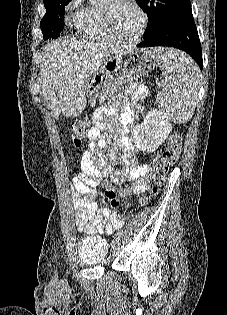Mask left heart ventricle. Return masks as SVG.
I'll list each match as a JSON object with an SVG mask.
<instances>
[{
  "label": "left heart ventricle",
  "mask_w": 227,
  "mask_h": 315,
  "mask_svg": "<svg viewBox=\"0 0 227 315\" xmlns=\"http://www.w3.org/2000/svg\"><path fill=\"white\" fill-rule=\"evenodd\" d=\"M111 18L115 32L124 39L133 38L140 29L141 18L138 12L127 3L120 2L113 5Z\"/></svg>",
  "instance_id": "b2bd125f"
}]
</instances>
